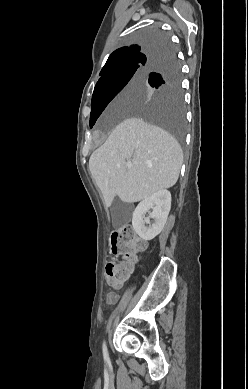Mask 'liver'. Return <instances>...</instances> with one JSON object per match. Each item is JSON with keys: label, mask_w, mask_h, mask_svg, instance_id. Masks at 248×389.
I'll return each instance as SVG.
<instances>
[{"label": "liver", "mask_w": 248, "mask_h": 389, "mask_svg": "<svg viewBox=\"0 0 248 389\" xmlns=\"http://www.w3.org/2000/svg\"><path fill=\"white\" fill-rule=\"evenodd\" d=\"M133 90L129 85L116 104L133 102ZM182 162L181 147L171 134L131 117L119 123L92 153L89 170L109 207L116 196L125 203H134L174 186Z\"/></svg>", "instance_id": "liver-1"}]
</instances>
